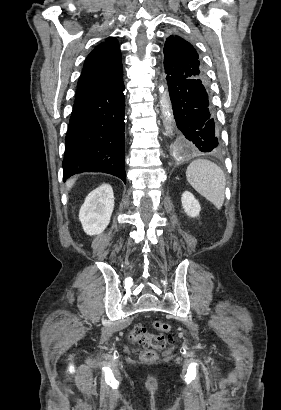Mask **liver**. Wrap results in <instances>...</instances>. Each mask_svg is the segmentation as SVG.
I'll use <instances>...</instances> for the list:
<instances>
[{
  "instance_id": "obj_1",
  "label": "liver",
  "mask_w": 281,
  "mask_h": 410,
  "mask_svg": "<svg viewBox=\"0 0 281 410\" xmlns=\"http://www.w3.org/2000/svg\"><path fill=\"white\" fill-rule=\"evenodd\" d=\"M75 181H76V179H70V180H68V181L66 182L67 188H68V189L71 188V187L74 185Z\"/></svg>"
}]
</instances>
